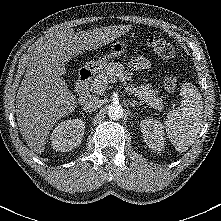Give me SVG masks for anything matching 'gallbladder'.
I'll list each match as a JSON object with an SVG mask.
<instances>
[{
    "mask_svg": "<svg viewBox=\"0 0 221 221\" xmlns=\"http://www.w3.org/2000/svg\"><path fill=\"white\" fill-rule=\"evenodd\" d=\"M62 71H63L64 74L66 73V69H63Z\"/></svg>",
    "mask_w": 221,
    "mask_h": 221,
    "instance_id": "1",
    "label": "gallbladder"
}]
</instances>
